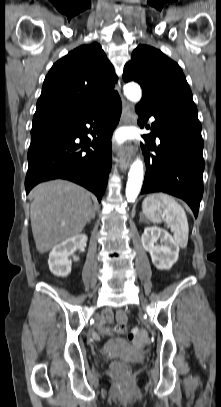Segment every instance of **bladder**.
I'll return each instance as SVG.
<instances>
[{
	"instance_id": "1",
	"label": "bladder",
	"mask_w": 221,
	"mask_h": 407,
	"mask_svg": "<svg viewBox=\"0 0 221 407\" xmlns=\"http://www.w3.org/2000/svg\"><path fill=\"white\" fill-rule=\"evenodd\" d=\"M125 343L121 340L118 339H113L110 341L109 345H108V351L110 353H114L117 354L119 352H121L124 348H125Z\"/></svg>"
}]
</instances>
